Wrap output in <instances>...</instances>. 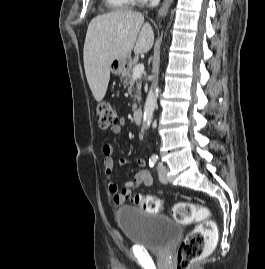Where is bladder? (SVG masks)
<instances>
[{
    "label": "bladder",
    "instance_id": "1",
    "mask_svg": "<svg viewBox=\"0 0 265 269\" xmlns=\"http://www.w3.org/2000/svg\"><path fill=\"white\" fill-rule=\"evenodd\" d=\"M118 227L134 245L151 251L168 249L181 235V227L169 217L148 213L133 205H125L115 213Z\"/></svg>",
    "mask_w": 265,
    "mask_h": 269
}]
</instances>
